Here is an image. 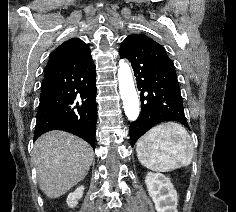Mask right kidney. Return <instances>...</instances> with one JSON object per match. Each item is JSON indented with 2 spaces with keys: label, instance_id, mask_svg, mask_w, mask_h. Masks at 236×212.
<instances>
[{
  "label": "right kidney",
  "instance_id": "obj_1",
  "mask_svg": "<svg viewBox=\"0 0 236 212\" xmlns=\"http://www.w3.org/2000/svg\"><path fill=\"white\" fill-rule=\"evenodd\" d=\"M84 186H79L73 193H70L67 197V204L73 208L77 205V200L83 196Z\"/></svg>",
  "mask_w": 236,
  "mask_h": 212
}]
</instances>
